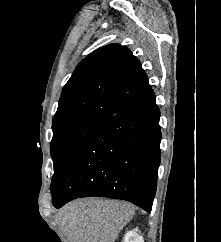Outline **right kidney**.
Listing matches in <instances>:
<instances>
[{"label": "right kidney", "mask_w": 221, "mask_h": 242, "mask_svg": "<svg viewBox=\"0 0 221 242\" xmlns=\"http://www.w3.org/2000/svg\"><path fill=\"white\" fill-rule=\"evenodd\" d=\"M136 231L137 230L128 231L125 234L122 242H137L138 234Z\"/></svg>", "instance_id": "right-kidney-1"}]
</instances>
